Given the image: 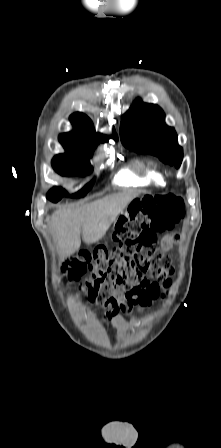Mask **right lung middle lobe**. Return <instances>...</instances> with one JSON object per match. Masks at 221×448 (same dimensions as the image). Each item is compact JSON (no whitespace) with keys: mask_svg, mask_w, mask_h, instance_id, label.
Segmentation results:
<instances>
[{"mask_svg":"<svg viewBox=\"0 0 221 448\" xmlns=\"http://www.w3.org/2000/svg\"><path fill=\"white\" fill-rule=\"evenodd\" d=\"M52 166L57 173L62 176H72L77 174H88L92 171L89 159L77 158L68 154L56 155L52 160ZM93 181L85 185L79 192L70 197H83L91 189ZM63 196H69L66 191L60 187H55L47 193V198L52 202H58Z\"/></svg>","mask_w":221,"mask_h":448,"instance_id":"right-lung-middle-lobe-1","label":"right lung middle lobe"}]
</instances>
